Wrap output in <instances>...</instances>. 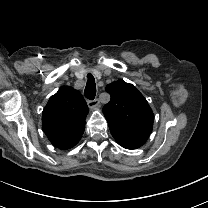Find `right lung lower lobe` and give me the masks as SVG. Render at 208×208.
<instances>
[{"label": "right lung lower lobe", "mask_w": 208, "mask_h": 208, "mask_svg": "<svg viewBox=\"0 0 208 208\" xmlns=\"http://www.w3.org/2000/svg\"><path fill=\"white\" fill-rule=\"evenodd\" d=\"M80 138H78V139H76V140H74V141H72L70 143L64 144V145L60 146L59 148L60 149H69V148L75 146L78 143V141L80 140Z\"/></svg>", "instance_id": "right-lung-lower-lobe-1"}]
</instances>
